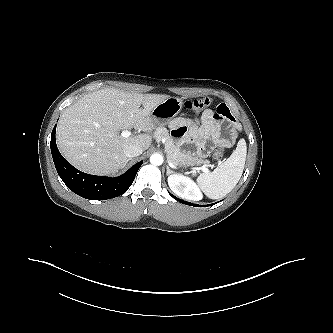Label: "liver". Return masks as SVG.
Returning a JSON list of instances; mask_svg holds the SVG:
<instances>
[{
	"mask_svg": "<svg viewBox=\"0 0 333 333\" xmlns=\"http://www.w3.org/2000/svg\"><path fill=\"white\" fill-rule=\"evenodd\" d=\"M168 95L140 94L105 88L84 95L62 114L56 132L59 150L79 170L96 175L116 173L124 166V149L147 150L155 123L152 109ZM143 108H140V106ZM144 131L123 138L121 130Z\"/></svg>",
	"mask_w": 333,
	"mask_h": 333,
	"instance_id": "obj_1",
	"label": "liver"
}]
</instances>
